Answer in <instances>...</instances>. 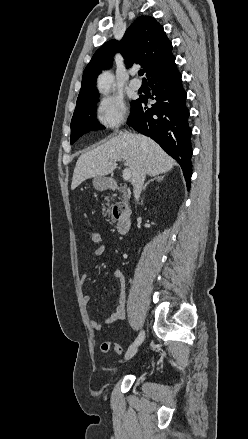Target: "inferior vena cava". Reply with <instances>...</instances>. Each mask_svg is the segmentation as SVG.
Segmentation results:
<instances>
[{
    "label": "inferior vena cava",
    "instance_id": "inferior-vena-cava-1",
    "mask_svg": "<svg viewBox=\"0 0 248 439\" xmlns=\"http://www.w3.org/2000/svg\"><path fill=\"white\" fill-rule=\"evenodd\" d=\"M145 177H146V171L144 168H142L139 171L135 181L133 182V193H134V198L136 201H138L140 198V194H141V191L143 189Z\"/></svg>",
    "mask_w": 248,
    "mask_h": 439
}]
</instances>
